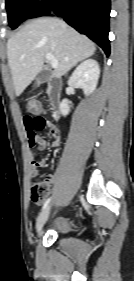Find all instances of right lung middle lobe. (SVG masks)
Wrapping results in <instances>:
<instances>
[{
	"label": "right lung middle lobe",
	"instance_id": "obj_1",
	"mask_svg": "<svg viewBox=\"0 0 134 281\" xmlns=\"http://www.w3.org/2000/svg\"><path fill=\"white\" fill-rule=\"evenodd\" d=\"M37 3L30 0H6V9L8 13L9 24L13 29L30 18L36 9Z\"/></svg>",
	"mask_w": 134,
	"mask_h": 281
}]
</instances>
